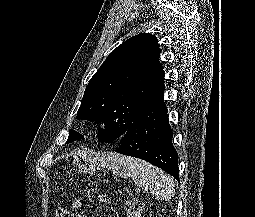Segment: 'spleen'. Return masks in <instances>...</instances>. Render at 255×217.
Here are the masks:
<instances>
[{"label":"spleen","instance_id":"spleen-1","mask_svg":"<svg viewBox=\"0 0 255 217\" xmlns=\"http://www.w3.org/2000/svg\"><path fill=\"white\" fill-rule=\"evenodd\" d=\"M108 161L115 174L131 177L137 186L148 189L155 199L169 201L174 197V181L161 169L140 159L114 154Z\"/></svg>","mask_w":255,"mask_h":217}]
</instances>
